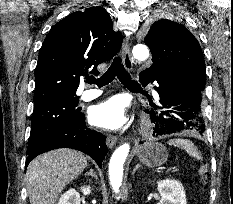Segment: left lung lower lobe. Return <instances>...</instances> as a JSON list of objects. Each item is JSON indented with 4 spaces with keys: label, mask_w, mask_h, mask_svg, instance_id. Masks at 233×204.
Here are the masks:
<instances>
[{
    "label": "left lung lower lobe",
    "mask_w": 233,
    "mask_h": 204,
    "mask_svg": "<svg viewBox=\"0 0 233 204\" xmlns=\"http://www.w3.org/2000/svg\"><path fill=\"white\" fill-rule=\"evenodd\" d=\"M143 86L156 83L160 105L150 103V114L155 136L190 131L203 135L201 101L204 87L178 60L157 62L147 74H140Z\"/></svg>",
    "instance_id": "obj_1"
}]
</instances>
